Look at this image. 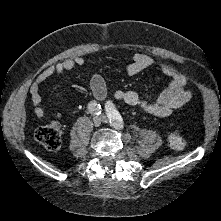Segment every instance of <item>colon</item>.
<instances>
[{
    "instance_id": "5ec220e1",
    "label": "colon",
    "mask_w": 221,
    "mask_h": 221,
    "mask_svg": "<svg viewBox=\"0 0 221 221\" xmlns=\"http://www.w3.org/2000/svg\"><path fill=\"white\" fill-rule=\"evenodd\" d=\"M61 125L53 121L39 127L35 132L36 140L48 150H56L61 144ZM168 144L174 150H182L187 144V138L181 130H173L168 136Z\"/></svg>"
}]
</instances>
